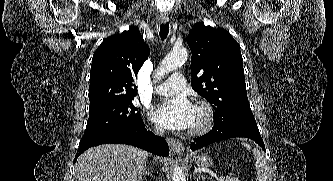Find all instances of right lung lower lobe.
<instances>
[{"label": "right lung lower lobe", "instance_id": "98d812e1", "mask_svg": "<svg viewBox=\"0 0 333 181\" xmlns=\"http://www.w3.org/2000/svg\"><path fill=\"white\" fill-rule=\"evenodd\" d=\"M107 143H122L133 145L160 156L169 155V147L164 138L155 136L147 131L143 121L136 126L120 132H112L90 138H82L79 143L78 152L75 157L83 153L86 149Z\"/></svg>", "mask_w": 333, "mask_h": 181}]
</instances>
